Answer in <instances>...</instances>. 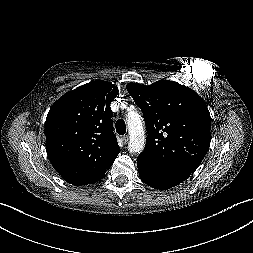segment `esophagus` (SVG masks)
I'll list each match as a JSON object with an SVG mask.
<instances>
[{
	"mask_svg": "<svg viewBox=\"0 0 253 253\" xmlns=\"http://www.w3.org/2000/svg\"><path fill=\"white\" fill-rule=\"evenodd\" d=\"M122 141H123L124 144H127L128 141H129V136L128 135L122 136Z\"/></svg>",
	"mask_w": 253,
	"mask_h": 253,
	"instance_id": "34e87169",
	"label": "esophagus"
}]
</instances>
